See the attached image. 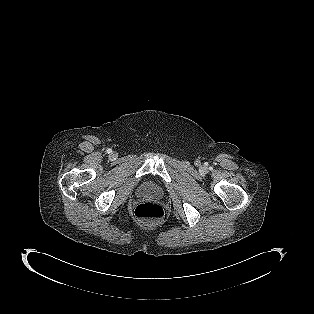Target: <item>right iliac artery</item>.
<instances>
[{
    "label": "right iliac artery",
    "instance_id": "obj_1",
    "mask_svg": "<svg viewBox=\"0 0 314 314\" xmlns=\"http://www.w3.org/2000/svg\"><path fill=\"white\" fill-rule=\"evenodd\" d=\"M111 151H112L111 149H107V153H111Z\"/></svg>",
    "mask_w": 314,
    "mask_h": 314
}]
</instances>
